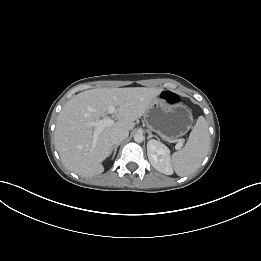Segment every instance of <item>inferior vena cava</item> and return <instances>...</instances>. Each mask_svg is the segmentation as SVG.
I'll list each match as a JSON object with an SVG mask.
<instances>
[{"label":"inferior vena cava","instance_id":"1","mask_svg":"<svg viewBox=\"0 0 261 261\" xmlns=\"http://www.w3.org/2000/svg\"><path fill=\"white\" fill-rule=\"evenodd\" d=\"M129 135V132L126 130H117L114 131L111 136L110 140L113 145H118L121 143L123 140H125Z\"/></svg>","mask_w":261,"mask_h":261}]
</instances>
